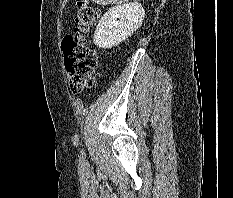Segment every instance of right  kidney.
<instances>
[{
	"mask_svg": "<svg viewBox=\"0 0 233 198\" xmlns=\"http://www.w3.org/2000/svg\"><path fill=\"white\" fill-rule=\"evenodd\" d=\"M144 17V8L138 2L109 9L99 21L94 33V44L102 49L119 45L142 25Z\"/></svg>",
	"mask_w": 233,
	"mask_h": 198,
	"instance_id": "1",
	"label": "right kidney"
}]
</instances>
